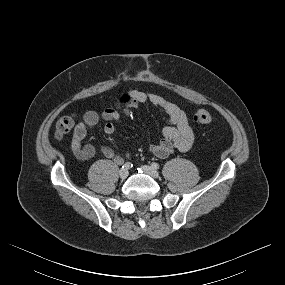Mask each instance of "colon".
I'll list each match as a JSON object with an SVG mask.
<instances>
[{"label":"colon","mask_w":285,"mask_h":285,"mask_svg":"<svg viewBox=\"0 0 285 285\" xmlns=\"http://www.w3.org/2000/svg\"><path fill=\"white\" fill-rule=\"evenodd\" d=\"M193 119L199 124H208L211 122V114L205 109H199L193 114ZM74 126V120L71 116L61 118L56 125V137L62 138L68 134Z\"/></svg>","instance_id":"colon-1"}]
</instances>
